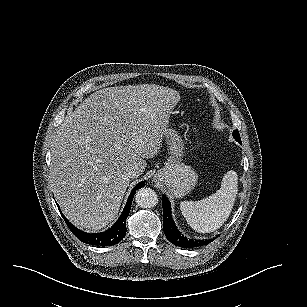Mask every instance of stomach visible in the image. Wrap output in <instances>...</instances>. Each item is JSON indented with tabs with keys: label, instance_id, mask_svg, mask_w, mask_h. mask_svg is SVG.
Returning a JSON list of instances; mask_svg holds the SVG:
<instances>
[{
	"label": "stomach",
	"instance_id": "1",
	"mask_svg": "<svg viewBox=\"0 0 307 307\" xmlns=\"http://www.w3.org/2000/svg\"><path fill=\"white\" fill-rule=\"evenodd\" d=\"M165 138L169 157L165 166L154 174L153 181L165 185L175 197H182L194 189L198 174L190 165L184 163L186 147L179 133L167 128Z\"/></svg>",
	"mask_w": 307,
	"mask_h": 307
}]
</instances>
